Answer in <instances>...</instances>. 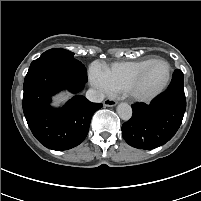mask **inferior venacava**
I'll use <instances>...</instances> for the list:
<instances>
[{
  "label": "inferior vena cava",
  "instance_id": "inferior-vena-cava-1",
  "mask_svg": "<svg viewBox=\"0 0 201 201\" xmlns=\"http://www.w3.org/2000/svg\"><path fill=\"white\" fill-rule=\"evenodd\" d=\"M86 98L94 103H101L104 98L105 95L102 91L94 89V88H90L87 92H86Z\"/></svg>",
  "mask_w": 201,
  "mask_h": 201
}]
</instances>
